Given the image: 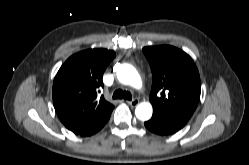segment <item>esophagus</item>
Listing matches in <instances>:
<instances>
[{
  "mask_svg": "<svg viewBox=\"0 0 249 165\" xmlns=\"http://www.w3.org/2000/svg\"><path fill=\"white\" fill-rule=\"evenodd\" d=\"M128 104L130 106H132V107H135V106H137L139 104V100L135 98V99H133L131 101H128Z\"/></svg>",
  "mask_w": 249,
  "mask_h": 165,
  "instance_id": "obj_1",
  "label": "esophagus"
}]
</instances>
